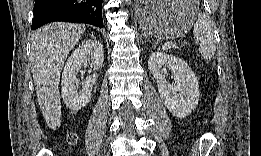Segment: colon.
<instances>
[{
	"label": "colon",
	"mask_w": 261,
	"mask_h": 156,
	"mask_svg": "<svg viewBox=\"0 0 261 156\" xmlns=\"http://www.w3.org/2000/svg\"><path fill=\"white\" fill-rule=\"evenodd\" d=\"M76 135L74 133L69 134L68 136V143L69 144H74L76 142Z\"/></svg>",
	"instance_id": "1"
}]
</instances>
